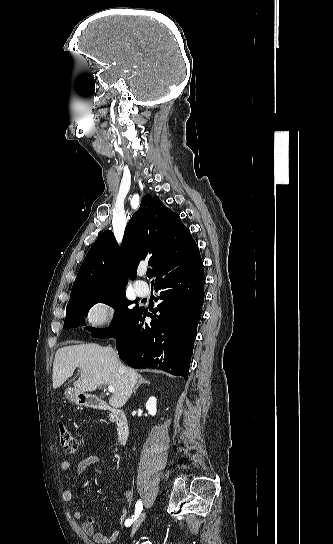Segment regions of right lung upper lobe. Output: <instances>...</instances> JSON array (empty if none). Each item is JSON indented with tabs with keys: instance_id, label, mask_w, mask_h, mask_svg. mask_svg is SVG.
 Here are the masks:
<instances>
[{
	"instance_id": "cb5924a9",
	"label": "right lung upper lobe",
	"mask_w": 333,
	"mask_h": 544,
	"mask_svg": "<svg viewBox=\"0 0 333 544\" xmlns=\"http://www.w3.org/2000/svg\"><path fill=\"white\" fill-rule=\"evenodd\" d=\"M152 266L155 283L202 263L199 249L179 215L157 197L146 195L128 222L122 247L110 230L94 242L73 283L70 299L99 291L125 289L141 260Z\"/></svg>"
}]
</instances>
